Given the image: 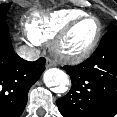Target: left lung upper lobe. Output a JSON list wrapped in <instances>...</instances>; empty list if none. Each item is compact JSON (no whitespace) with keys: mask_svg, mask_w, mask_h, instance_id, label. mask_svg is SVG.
I'll return each mask as SVG.
<instances>
[{"mask_svg":"<svg viewBox=\"0 0 117 117\" xmlns=\"http://www.w3.org/2000/svg\"><path fill=\"white\" fill-rule=\"evenodd\" d=\"M114 26H115V25H110V26L108 27V30L111 29V28L114 27Z\"/></svg>","mask_w":117,"mask_h":117,"instance_id":"left-lung-upper-lobe-1","label":"left lung upper lobe"}]
</instances>
